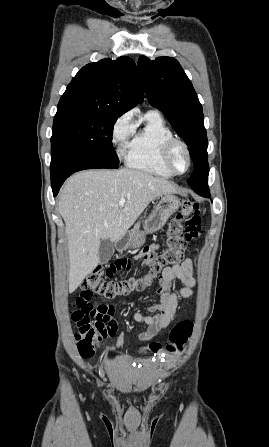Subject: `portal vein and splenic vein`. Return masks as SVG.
<instances>
[{
    "instance_id": "18ae733b",
    "label": "portal vein and splenic vein",
    "mask_w": 269,
    "mask_h": 447,
    "mask_svg": "<svg viewBox=\"0 0 269 447\" xmlns=\"http://www.w3.org/2000/svg\"><path fill=\"white\" fill-rule=\"evenodd\" d=\"M125 202V198H121V200H119V206H124Z\"/></svg>"
}]
</instances>
